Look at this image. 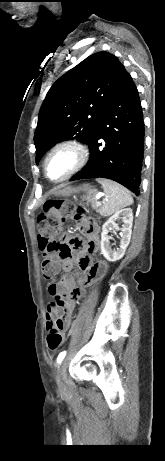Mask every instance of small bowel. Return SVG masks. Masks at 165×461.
<instances>
[{
	"mask_svg": "<svg viewBox=\"0 0 165 461\" xmlns=\"http://www.w3.org/2000/svg\"><path fill=\"white\" fill-rule=\"evenodd\" d=\"M86 209H75L74 215L80 226L85 229L87 242L83 244V237H66V245H74L76 251H59L50 260L56 273L62 269L64 274L58 282L48 286V293L55 301L48 304L46 309L47 325L62 311V329L69 327L77 302L84 296L85 287L105 272V263H92L89 254L95 253L100 245L98 230L95 223L87 218ZM77 264L82 272L69 274Z\"/></svg>",
	"mask_w": 165,
	"mask_h": 461,
	"instance_id": "small-bowel-1",
	"label": "small bowel"
}]
</instances>
